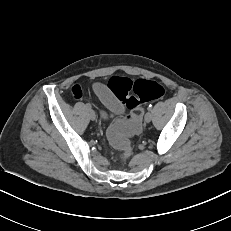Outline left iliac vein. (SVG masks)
I'll return each instance as SVG.
<instances>
[{
	"instance_id": "1",
	"label": "left iliac vein",
	"mask_w": 231,
	"mask_h": 231,
	"mask_svg": "<svg viewBox=\"0 0 231 231\" xmlns=\"http://www.w3.org/2000/svg\"><path fill=\"white\" fill-rule=\"evenodd\" d=\"M152 120V114L151 112H147L144 116V121L149 123Z\"/></svg>"
}]
</instances>
